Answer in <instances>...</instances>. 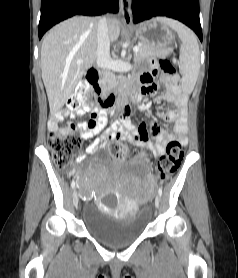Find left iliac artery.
<instances>
[{"instance_id": "left-iliac-artery-1", "label": "left iliac artery", "mask_w": 238, "mask_h": 278, "mask_svg": "<svg viewBox=\"0 0 238 278\" xmlns=\"http://www.w3.org/2000/svg\"><path fill=\"white\" fill-rule=\"evenodd\" d=\"M158 195L161 197V195H162V188H159Z\"/></svg>"}]
</instances>
